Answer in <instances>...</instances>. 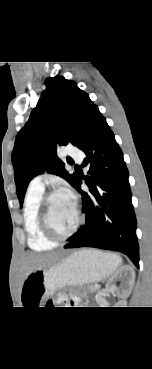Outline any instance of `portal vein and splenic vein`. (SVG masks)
<instances>
[{
	"mask_svg": "<svg viewBox=\"0 0 152 369\" xmlns=\"http://www.w3.org/2000/svg\"><path fill=\"white\" fill-rule=\"evenodd\" d=\"M96 288H97V286H94V288H93V289H94V290H96Z\"/></svg>",
	"mask_w": 152,
	"mask_h": 369,
	"instance_id": "1",
	"label": "portal vein and splenic vein"
}]
</instances>
